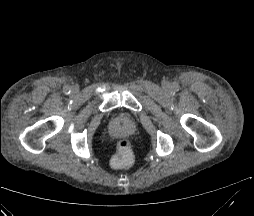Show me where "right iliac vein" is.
Masks as SVG:
<instances>
[{
  "instance_id": "right-iliac-vein-1",
  "label": "right iliac vein",
  "mask_w": 254,
  "mask_h": 216,
  "mask_svg": "<svg viewBox=\"0 0 254 216\" xmlns=\"http://www.w3.org/2000/svg\"><path fill=\"white\" fill-rule=\"evenodd\" d=\"M73 91H74V92H77V88H76V87H74V88H73Z\"/></svg>"
}]
</instances>
